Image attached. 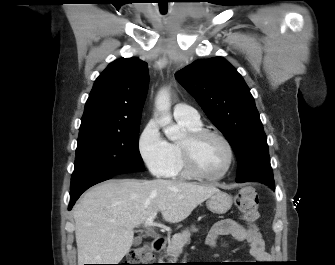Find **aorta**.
Returning <instances> with one entry per match:
<instances>
[{"instance_id":"1","label":"aorta","mask_w":335,"mask_h":265,"mask_svg":"<svg viewBox=\"0 0 335 265\" xmlns=\"http://www.w3.org/2000/svg\"><path fill=\"white\" fill-rule=\"evenodd\" d=\"M155 105L156 109L161 115L159 124L163 128L166 137L172 141L179 139L181 137V133L179 128L172 124L170 115V94L167 89H162L159 91L156 97Z\"/></svg>"}]
</instances>
